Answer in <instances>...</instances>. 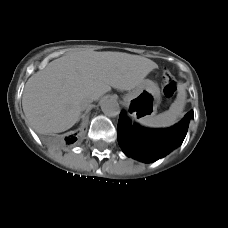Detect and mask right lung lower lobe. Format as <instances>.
Here are the masks:
<instances>
[{"instance_id": "98d812e1", "label": "right lung lower lobe", "mask_w": 228, "mask_h": 228, "mask_svg": "<svg viewBox=\"0 0 228 228\" xmlns=\"http://www.w3.org/2000/svg\"><path fill=\"white\" fill-rule=\"evenodd\" d=\"M77 141L76 134L66 137L61 143L71 145Z\"/></svg>"}]
</instances>
